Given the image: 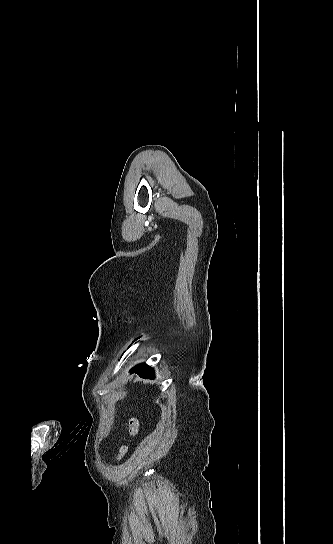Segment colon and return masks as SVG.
I'll use <instances>...</instances> for the list:
<instances>
[{"label": "colon", "mask_w": 333, "mask_h": 544, "mask_svg": "<svg viewBox=\"0 0 333 544\" xmlns=\"http://www.w3.org/2000/svg\"><path fill=\"white\" fill-rule=\"evenodd\" d=\"M128 427H129V435H130V441L135 438L138 434V431H139V421L138 419L135 417V416H132L130 417L129 421H128ZM128 446L129 444H124L120 447L119 451H118V458H122L127 450H128Z\"/></svg>", "instance_id": "obj_1"}]
</instances>
